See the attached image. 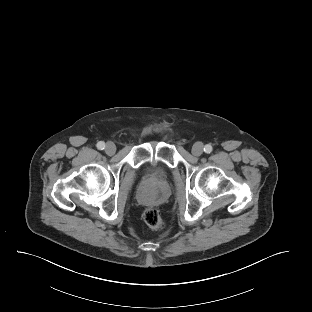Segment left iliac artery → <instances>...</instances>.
<instances>
[{"label": "left iliac artery", "mask_w": 312, "mask_h": 312, "mask_svg": "<svg viewBox=\"0 0 312 312\" xmlns=\"http://www.w3.org/2000/svg\"><path fill=\"white\" fill-rule=\"evenodd\" d=\"M212 150H213V148H212V146H211L210 144L205 145L204 151H205L206 153H211Z\"/></svg>", "instance_id": "left-iliac-artery-1"}]
</instances>
